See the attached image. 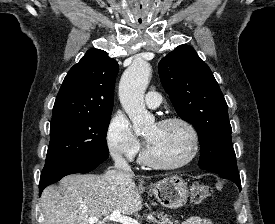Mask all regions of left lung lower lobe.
Returning <instances> with one entry per match:
<instances>
[{
  "instance_id": "left-lung-lower-lobe-1",
  "label": "left lung lower lobe",
  "mask_w": 275,
  "mask_h": 224,
  "mask_svg": "<svg viewBox=\"0 0 275 224\" xmlns=\"http://www.w3.org/2000/svg\"><path fill=\"white\" fill-rule=\"evenodd\" d=\"M230 180H232L239 188V190H241V182H240V177L234 178V177H230L228 178Z\"/></svg>"
}]
</instances>
